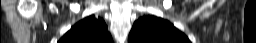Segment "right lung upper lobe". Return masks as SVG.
Masks as SVG:
<instances>
[{
  "mask_svg": "<svg viewBox=\"0 0 256 43\" xmlns=\"http://www.w3.org/2000/svg\"><path fill=\"white\" fill-rule=\"evenodd\" d=\"M58 43H113L105 22L91 15L75 24Z\"/></svg>",
  "mask_w": 256,
  "mask_h": 43,
  "instance_id": "cb5924a9",
  "label": "right lung upper lobe"
}]
</instances>
